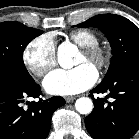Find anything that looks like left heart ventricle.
Wrapping results in <instances>:
<instances>
[{
    "label": "left heart ventricle",
    "instance_id": "left-heart-ventricle-1",
    "mask_svg": "<svg viewBox=\"0 0 139 139\" xmlns=\"http://www.w3.org/2000/svg\"><path fill=\"white\" fill-rule=\"evenodd\" d=\"M84 63H89L91 64L88 59L86 58V56L81 52L80 55L78 56L77 60H76V65L79 66L81 64H84ZM92 65V64H91ZM93 66V65H92Z\"/></svg>",
    "mask_w": 139,
    "mask_h": 139
}]
</instances>
